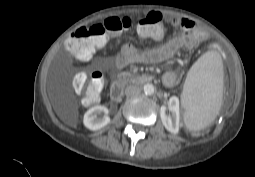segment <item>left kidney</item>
<instances>
[{
	"instance_id": "1",
	"label": "left kidney",
	"mask_w": 255,
	"mask_h": 177,
	"mask_svg": "<svg viewBox=\"0 0 255 177\" xmlns=\"http://www.w3.org/2000/svg\"><path fill=\"white\" fill-rule=\"evenodd\" d=\"M168 108L171 112L170 115H166L165 107H161V120L165 128L171 133H178L179 131V99L176 96H172L168 102Z\"/></svg>"
}]
</instances>
